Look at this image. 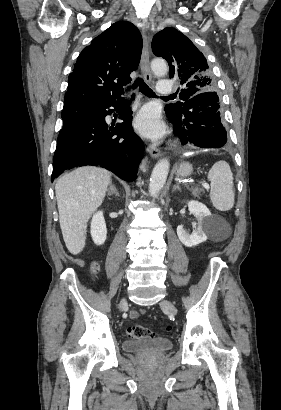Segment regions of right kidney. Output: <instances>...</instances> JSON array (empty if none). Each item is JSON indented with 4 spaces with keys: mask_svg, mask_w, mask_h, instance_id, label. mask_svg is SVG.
<instances>
[{
    "mask_svg": "<svg viewBox=\"0 0 281 410\" xmlns=\"http://www.w3.org/2000/svg\"><path fill=\"white\" fill-rule=\"evenodd\" d=\"M91 237L96 245H102L106 241L107 228L102 211L94 214L91 221Z\"/></svg>",
    "mask_w": 281,
    "mask_h": 410,
    "instance_id": "1",
    "label": "right kidney"
}]
</instances>
